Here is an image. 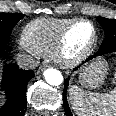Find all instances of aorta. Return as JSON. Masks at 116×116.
<instances>
[{
    "mask_svg": "<svg viewBox=\"0 0 116 116\" xmlns=\"http://www.w3.org/2000/svg\"><path fill=\"white\" fill-rule=\"evenodd\" d=\"M44 77L48 84L58 86L63 82V76L60 71L48 68L44 71Z\"/></svg>",
    "mask_w": 116,
    "mask_h": 116,
    "instance_id": "762f6f07",
    "label": "aorta"
}]
</instances>
